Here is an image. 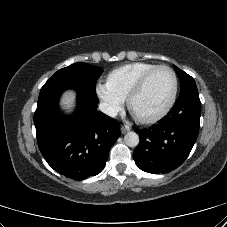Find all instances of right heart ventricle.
I'll return each mask as SVG.
<instances>
[{"label":"right heart ventricle","instance_id":"1","mask_svg":"<svg viewBox=\"0 0 227 227\" xmlns=\"http://www.w3.org/2000/svg\"><path fill=\"white\" fill-rule=\"evenodd\" d=\"M156 64L133 62L112 70L107 76V84L121 98L126 99L137 80Z\"/></svg>","mask_w":227,"mask_h":227}]
</instances>
